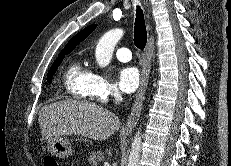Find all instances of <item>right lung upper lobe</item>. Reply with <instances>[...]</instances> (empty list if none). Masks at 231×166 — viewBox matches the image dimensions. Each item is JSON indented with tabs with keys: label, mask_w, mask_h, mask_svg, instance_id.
<instances>
[{
	"label": "right lung upper lobe",
	"mask_w": 231,
	"mask_h": 166,
	"mask_svg": "<svg viewBox=\"0 0 231 166\" xmlns=\"http://www.w3.org/2000/svg\"><path fill=\"white\" fill-rule=\"evenodd\" d=\"M97 25H90L86 28H84L82 31H80L79 33H77L68 43L67 45L64 47V49L59 53V54H63V53H70L72 52L75 47L82 42L84 39H86L96 28Z\"/></svg>",
	"instance_id": "obj_1"
}]
</instances>
